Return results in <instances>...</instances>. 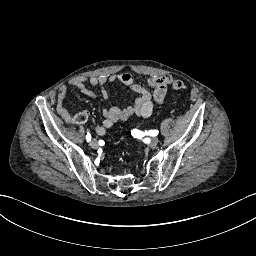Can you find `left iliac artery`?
Wrapping results in <instances>:
<instances>
[{
    "label": "left iliac artery",
    "instance_id": "obj_1",
    "mask_svg": "<svg viewBox=\"0 0 256 256\" xmlns=\"http://www.w3.org/2000/svg\"><path fill=\"white\" fill-rule=\"evenodd\" d=\"M131 134L135 137H138V138H141V136H143L144 134L150 135V136H157L158 130H150V131L144 133V132H141L137 129H133L131 131Z\"/></svg>",
    "mask_w": 256,
    "mask_h": 256
}]
</instances>
